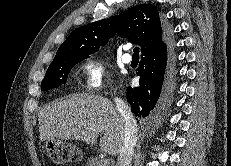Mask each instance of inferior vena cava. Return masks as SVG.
<instances>
[{"label":"inferior vena cava","instance_id":"obj_1","mask_svg":"<svg viewBox=\"0 0 231 166\" xmlns=\"http://www.w3.org/2000/svg\"><path fill=\"white\" fill-rule=\"evenodd\" d=\"M116 108L125 121V131L122 146L119 151L116 166H131L134 148L137 142V124L129 108L120 98L114 99Z\"/></svg>","mask_w":231,"mask_h":166}]
</instances>
